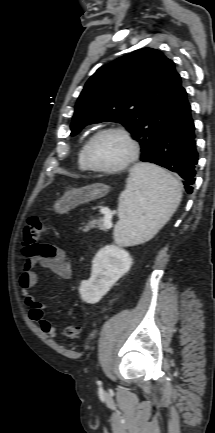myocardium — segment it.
Wrapping results in <instances>:
<instances>
[{
	"label": "myocardium",
	"mask_w": 215,
	"mask_h": 433,
	"mask_svg": "<svg viewBox=\"0 0 215 433\" xmlns=\"http://www.w3.org/2000/svg\"><path fill=\"white\" fill-rule=\"evenodd\" d=\"M108 133H115L118 134L120 136H122L128 143L129 145V156L127 157V159L120 165L115 166V167H98L96 166L91 158H90V150L91 147L93 145V143L102 135L104 134H108ZM139 155V145L136 141V139L134 138V136L125 128L123 127H117V126H112V127H106L103 129H100L99 131H97L96 133H94L90 139L87 141L86 145H85V149H84V158L86 161V164L88 165V167L96 172H102V173H109V174H116V173H120L125 171L126 169H128L130 166L133 165V163L137 160Z\"/></svg>",
	"instance_id": "myocardium-1"
}]
</instances>
